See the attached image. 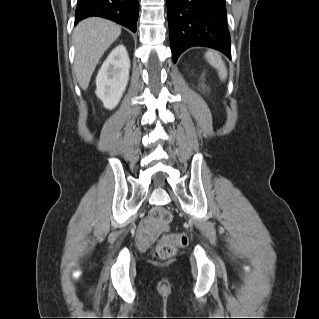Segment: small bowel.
Masks as SVG:
<instances>
[{"label": "small bowel", "mask_w": 319, "mask_h": 319, "mask_svg": "<svg viewBox=\"0 0 319 319\" xmlns=\"http://www.w3.org/2000/svg\"><path fill=\"white\" fill-rule=\"evenodd\" d=\"M149 231H155L154 226H152L148 221H144L139 226V232L141 239L143 240H150L152 237V234L149 233Z\"/></svg>", "instance_id": "1"}]
</instances>
